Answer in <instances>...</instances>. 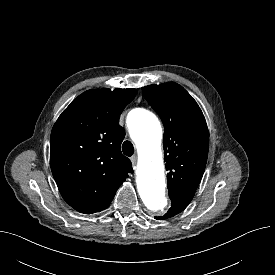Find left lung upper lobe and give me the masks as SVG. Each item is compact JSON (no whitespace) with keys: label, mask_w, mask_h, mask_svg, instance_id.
Returning a JSON list of instances; mask_svg holds the SVG:
<instances>
[{"label":"left lung upper lobe","mask_w":275,"mask_h":275,"mask_svg":"<svg viewBox=\"0 0 275 275\" xmlns=\"http://www.w3.org/2000/svg\"><path fill=\"white\" fill-rule=\"evenodd\" d=\"M143 94L164 125V161L169 195L191 194L199 185L207 161L209 132L204 115L179 84L149 85Z\"/></svg>","instance_id":"1"}]
</instances>
